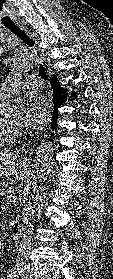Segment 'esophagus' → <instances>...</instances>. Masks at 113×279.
I'll use <instances>...</instances> for the list:
<instances>
[{
  "label": "esophagus",
  "instance_id": "34e87169",
  "mask_svg": "<svg viewBox=\"0 0 113 279\" xmlns=\"http://www.w3.org/2000/svg\"><path fill=\"white\" fill-rule=\"evenodd\" d=\"M22 29L30 36L31 39L34 40L35 44H36V49L39 53V56H40V59L42 62L45 61V58H46V54H45V51L44 49H42L40 46H39V37L36 33H34L33 31H31L30 28H27V27H22Z\"/></svg>",
  "mask_w": 113,
  "mask_h": 279
}]
</instances>
